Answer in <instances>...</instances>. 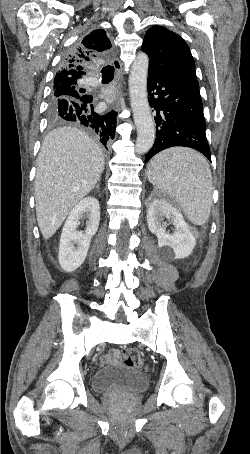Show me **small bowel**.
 Masks as SVG:
<instances>
[{"label": "small bowel", "instance_id": "obj_1", "mask_svg": "<svg viewBox=\"0 0 250 454\" xmlns=\"http://www.w3.org/2000/svg\"><path fill=\"white\" fill-rule=\"evenodd\" d=\"M115 357H116V352H115V351H112V352H110L109 354L103 356L102 359H103V361L108 362V361L112 360V359L115 358Z\"/></svg>", "mask_w": 250, "mask_h": 454}]
</instances>
